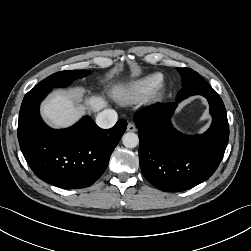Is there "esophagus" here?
I'll return each mask as SVG.
<instances>
[{"mask_svg":"<svg viewBox=\"0 0 251 251\" xmlns=\"http://www.w3.org/2000/svg\"><path fill=\"white\" fill-rule=\"evenodd\" d=\"M136 130H137L136 126L133 123H128V126H127L128 132H135Z\"/></svg>","mask_w":251,"mask_h":251,"instance_id":"esophagus-1","label":"esophagus"}]
</instances>
